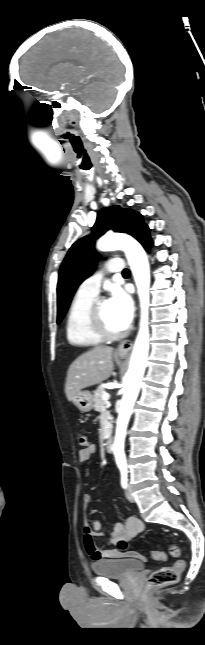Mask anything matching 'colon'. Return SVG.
<instances>
[{
  "label": "colon",
  "mask_w": 205,
  "mask_h": 645,
  "mask_svg": "<svg viewBox=\"0 0 205 645\" xmlns=\"http://www.w3.org/2000/svg\"><path fill=\"white\" fill-rule=\"evenodd\" d=\"M78 443L83 449L89 446V440L87 436L83 433L78 434ZM128 546V542L119 541L118 548L120 550H125ZM170 554L174 557L180 556V549L176 545L170 546ZM152 558L155 560L163 561L166 559V555L160 551H152ZM185 568L184 560L178 559L172 566L162 567L155 572H153L149 577V584L152 587H164L168 585L175 584L179 581L180 575Z\"/></svg>",
  "instance_id": "obj_1"
}]
</instances>
